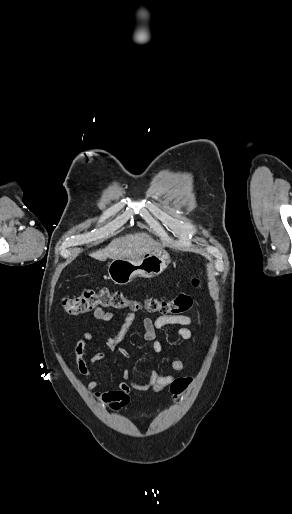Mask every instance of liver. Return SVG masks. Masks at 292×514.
I'll return each mask as SVG.
<instances>
[{"mask_svg":"<svg viewBox=\"0 0 292 514\" xmlns=\"http://www.w3.org/2000/svg\"><path fill=\"white\" fill-rule=\"evenodd\" d=\"M160 248H163V246L152 240L148 234H130V236L112 240L111 244L106 246L104 250H98V252L89 254V256L95 258V260H100V262H105L107 258H112V260L139 258L147 252H154V250H160Z\"/></svg>","mask_w":292,"mask_h":514,"instance_id":"liver-1","label":"liver"}]
</instances>
